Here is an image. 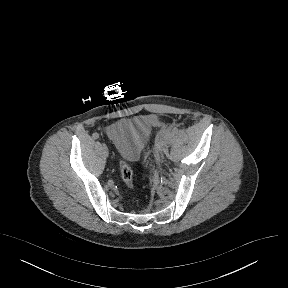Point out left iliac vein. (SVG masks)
<instances>
[{"label":"left iliac vein","mask_w":288,"mask_h":288,"mask_svg":"<svg viewBox=\"0 0 288 288\" xmlns=\"http://www.w3.org/2000/svg\"><path fill=\"white\" fill-rule=\"evenodd\" d=\"M166 148H167V143H166V141H164V142L162 143V152H165V151H166Z\"/></svg>","instance_id":"4c4485c4"}]
</instances>
